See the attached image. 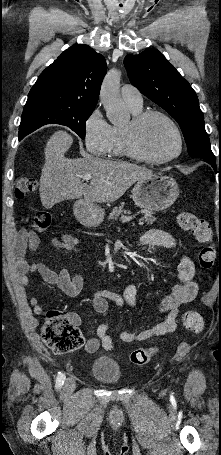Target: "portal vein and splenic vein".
Returning a JSON list of instances; mask_svg holds the SVG:
<instances>
[{
    "label": "portal vein and splenic vein",
    "mask_w": 221,
    "mask_h": 455,
    "mask_svg": "<svg viewBox=\"0 0 221 455\" xmlns=\"http://www.w3.org/2000/svg\"><path fill=\"white\" fill-rule=\"evenodd\" d=\"M80 178L88 181V180H91L92 179V176L90 174H84V175H81L79 176Z\"/></svg>",
    "instance_id": "portal-vein-and-splenic-vein-1"
}]
</instances>
